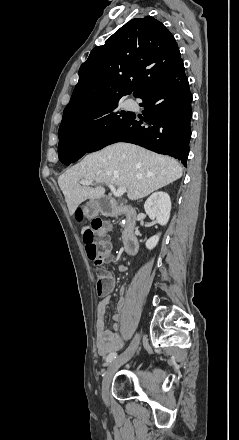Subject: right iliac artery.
I'll list each match as a JSON object with an SVG mask.
<instances>
[{
	"label": "right iliac artery",
	"instance_id": "82829eb1",
	"mask_svg": "<svg viewBox=\"0 0 239 440\" xmlns=\"http://www.w3.org/2000/svg\"><path fill=\"white\" fill-rule=\"evenodd\" d=\"M117 356L116 352L110 353L106 358V365H108L112 360H114Z\"/></svg>",
	"mask_w": 239,
	"mask_h": 440
}]
</instances>
